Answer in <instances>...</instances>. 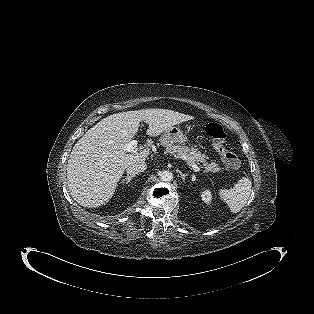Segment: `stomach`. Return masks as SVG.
Returning a JSON list of instances; mask_svg holds the SVG:
<instances>
[{
    "instance_id": "stomach-1",
    "label": "stomach",
    "mask_w": 314,
    "mask_h": 314,
    "mask_svg": "<svg viewBox=\"0 0 314 314\" xmlns=\"http://www.w3.org/2000/svg\"><path fill=\"white\" fill-rule=\"evenodd\" d=\"M160 142L162 145L166 143H177L180 145H185L187 142V137L179 127L173 126L169 130L162 133Z\"/></svg>"
}]
</instances>
